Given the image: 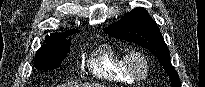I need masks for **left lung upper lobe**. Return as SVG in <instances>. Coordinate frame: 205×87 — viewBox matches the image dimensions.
<instances>
[{
	"label": "left lung upper lobe",
	"mask_w": 205,
	"mask_h": 87,
	"mask_svg": "<svg viewBox=\"0 0 205 87\" xmlns=\"http://www.w3.org/2000/svg\"><path fill=\"white\" fill-rule=\"evenodd\" d=\"M103 30L112 37L134 42L149 49L164 67L170 77L172 87H181L178 74L170 62L169 50L157 24L144 8L133 9L125 14L120 21Z\"/></svg>",
	"instance_id": "obj_1"
}]
</instances>
